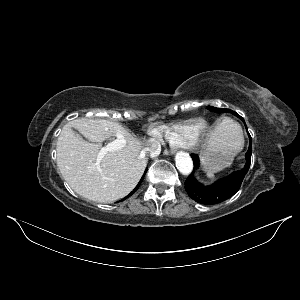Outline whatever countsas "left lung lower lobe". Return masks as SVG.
Masks as SVG:
<instances>
[{"instance_id": "1", "label": "left lung lower lobe", "mask_w": 300, "mask_h": 300, "mask_svg": "<svg viewBox=\"0 0 300 300\" xmlns=\"http://www.w3.org/2000/svg\"><path fill=\"white\" fill-rule=\"evenodd\" d=\"M249 138L250 144L246 153L247 162L242 170L236 171L210 186H204L199 183L194 177V174L188 176L185 181V190L193 200L204 205H214L227 200L239 190L251 162L252 140L250 135ZM192 159L194 169H197L199 166V158L197 155H192Z\"/></svg>"}]
</instances>
